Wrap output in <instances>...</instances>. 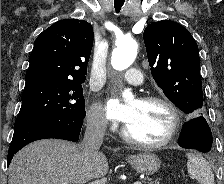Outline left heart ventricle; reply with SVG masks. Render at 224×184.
Returning a JSON list of instances; mask_svg holds the SVG:
<instances>
[{"label": "left heart ventricle", "instance_id": "obj_1", "mask_svg": "<svg viewBox=\"0 0 224 184\" xmlns=\"http://www.w3.org/2000/svg\"><path fill=\"white\" fill-rule=\"evenodd\" d=\"M135 111L126 124L129 134L139 140L156 142L162 140L168 133L171 124L169 111L161 104L131 102Z\"/></svg>", "mask_w": 224, "mask_h": 184}]
</instances>
